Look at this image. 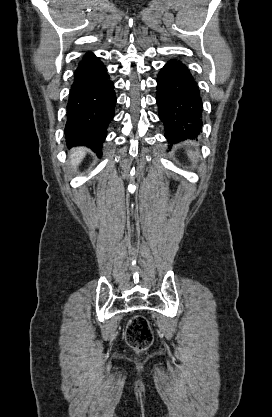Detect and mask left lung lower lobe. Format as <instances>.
<instances>
[{
    "instance_id": "1",
    "label": "left lung lower lobe",
    "mask_w": 272,
    "mask_h": 417,
    "mask_svg": "<svg viewBox=\"0 0 272 417\" xmlns=\"http://www.w3.org/2000/svg\"><path fill=\"white\" fill-rule=\"evenodd\" d=\"M156 100L168 142L193 139L201 133V94L190 71L180 61H168L159 72Z\"/></svg>"
}]
</instances>
